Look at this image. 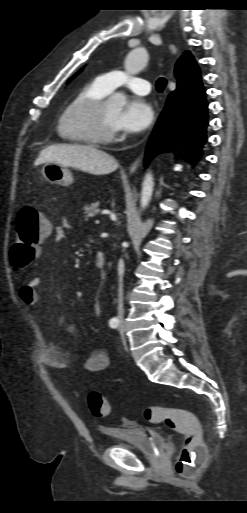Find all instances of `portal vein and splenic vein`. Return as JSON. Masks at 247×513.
Listing matches in <instances>:
<instances>
[{
  "label": "portal vein and splenic vein",
  "instance_id": "obj_1",
  "mask_svg": "<svg viewBox=\"0 0 247 513\" xmlns=\"http://www.w3.org/2000/svg\"><path fill=\"white\" fill-rule=\"evenodd\" d=\"M96 223H100V221H99V220H96Z\"/></svg>",
  "mask_w": 247,
  "mask_h": 513
}]
</instances>
